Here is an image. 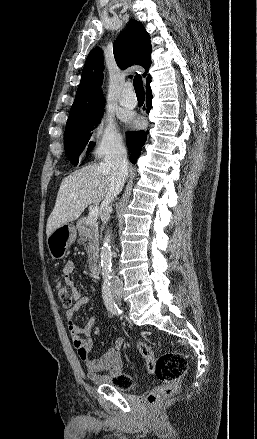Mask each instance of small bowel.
<instances>
[{"label":"small bowel","mask_w":257,"mask_h":439,"mask_svg":"<svg viewBox=\"0 0 257 439\" xmlns=\"http://www.w3.org/2000/svg\"><path fill=\"white\" fill-rule=\"evenodd\" d=\"M74 268L73 262L69 261L65 263L62 269L65 284L73 289L75 297L74 304L66 311L69 334L79 359L85 364L88 378L96 383H107L115 375L121 373L125 340L123 338H118L114 345L102 356L97 359L90 358L93 348L91 332L95 326L96 318L90 319L84 327H80L75 322L77 312L89 303V298L81 296L75 287L71 279Z\"/></svg>","instance_id":"obj_1"}]
</instances>
